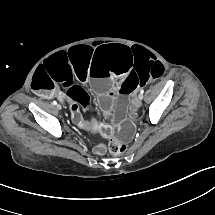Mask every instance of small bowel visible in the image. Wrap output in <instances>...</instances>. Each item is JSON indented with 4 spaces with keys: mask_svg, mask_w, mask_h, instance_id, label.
<instances>
[{
    "mask_svg": "<svg viewBox=\"0 0 215 215\" xmlns=\"http://www.w3.org/2000/svg\"><path fill=\"white\" fill-rule=\"evenodd\" d=\"M63 96L68 100L69 99V94L68 93H64L63 94ZM88 124H89V126H93V123H89L88 122ZM105 147L103 146V145H100V146H98L97 148H96V152L98 153V154H103L104 152H105Z\"/></svg>",
    "mask_w": 215,
    "mask_h": 215,
    "instance_id": "obj_1",
    "label": "small bowel"
}]
</instances>
